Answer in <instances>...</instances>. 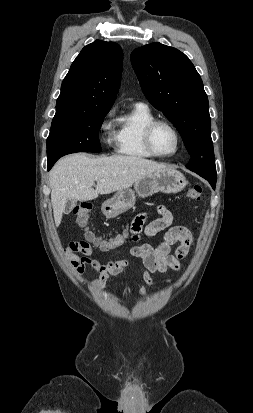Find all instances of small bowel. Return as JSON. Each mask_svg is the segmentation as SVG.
I'll use <instances>...</instances> for the list:
<instances>
[{
    "instance_id": "small-bowel-1",
    "label": "small bowel",
    "mask_w": 253,
    "mask_h": 413,
    "mask_svg": "<svg viewBox=\"0 0 253 413\" xmlns=\"http://www.w3.org/2000/svg\"><path fill=\"white\" fill-rule=\"evenodd\" d=\"M159 218L146 223V214L140 213L135 217L130 232L132 238L137 244L131 249V255L140 259L143 265L142 276L145 282L139 291L141 296L146 294V285L152 283V275L156 273H165L171 269L180 270L181 260L187 255L192 243V235L188 228L184 226H171L173 222L172 213L165 207H158ZM164 231L162 238L152 246L146 243H140V236L143 233L146 237H154ZM178 243L175 252L171 253V246ZM81 253L79 257L76 253ZM92 248L84 241L71 242L64 249V256L75 274H81L85 268L91 267L97 273V278L93 282V287L103 289L106 281L110 276L120 274L130 265L127 259L119 258L101 264L91 257Z\"/></svg>"
}]
</instances>
